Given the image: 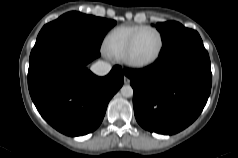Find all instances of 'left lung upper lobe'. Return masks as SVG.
Returning a JSON list of instances; mask_svg holds the SVG:
<instances>
[{
  "mask_svg": "<svg viewBox=\"0 0 238 158\" xmlns=\"http://www.w3.org/2000/svg\"><path fill=\"white\" fill-rule=\"evenodd\" d=\"M156 28L161 33L164 45L161 51L167 50L182 41L199 35L195 30L185 28L175 21L157 23Z\"/></svg>",
  "mask_w": 238,
  "mask_h": 158,
  "instance_id": "left-lung-upper-lobe-1",
  "label": "left lung upper lobe"
}]
</instances>
